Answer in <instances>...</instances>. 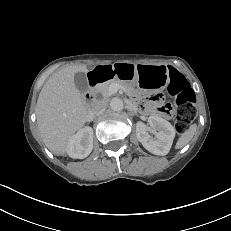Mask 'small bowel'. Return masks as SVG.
<instances>
[{"mask_svg":"<svg viewBox=\"0 0 231 231\" xmlns=\"http://www.w3.org/2000/svg\"><path fill=\"white\" fill-rule=\"evenodd\" d=\"M151 110H152V111H159V110H157V109H154V108H151Z\"/></svg>","mask_w":231,"mask_h":231,"instance_id":"small-bowel-1","label":"small bowel"}]
</instances>
